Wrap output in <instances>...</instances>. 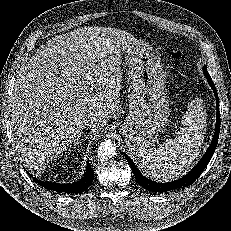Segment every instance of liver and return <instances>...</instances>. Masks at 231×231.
Masks as SVG:
<instances>
[{
	"label": "liver",
	"instance_id": "liver-1",
	"mask_svg": "<svg viewBox=\"0 0 231 231\" xmlns=\"http://www.w3.org/2000/svg\"><path fill=\"white\" fill-rule=\"evenodd\" d=\"M133 35L81 27L55 36L22 67L11 96L12 139L25 166L41 171L81 138L84 120L98 132L119 105V54ZM95 91V92H94Z\"/></svg>",
	"mask_w": 231,
	"mask_h": 231
}]
</instances>
